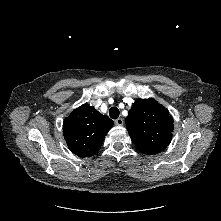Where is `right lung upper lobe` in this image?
I'll use <instances>...</instances> for the list:
<instances>
[{
    "label": "right lung upper lobe",
    "mask_w": 221,
    "mask_h": 221,
    "mask_svg": "<svg viewBox=\"0 0 221 221\" xmlns=\"http://www.w3.org/2000/svg\"><path fill=\"white\" fill-rule=\"evenodd\" d=\"M113 121L87 103L81 105L63 123V135L69 149L79 157H90L102 146Z\"/></svg>",
    "instance_id": "cb5924a9"
}]
</instances>
